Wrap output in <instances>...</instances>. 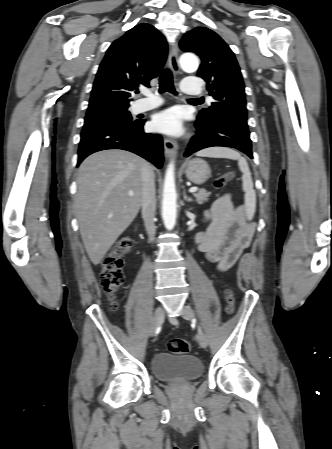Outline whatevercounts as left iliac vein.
<instances>
[{
	"label": "left iliac vein",
	"instance_id": "1",
	"mask_svg": "<svg viewBox=\"0 0 332 449\" xmlns=\"http://www.w3.org/2000/svg\"><path fill=\"white\" fill-rule=\"evenodd\" d=\"M182 317L186 320H193L195 317V313L191 307L184 306L182 308ZM197 340L202 348H205L208 345L207 337L202 331L198 333Z\"/></svg>",
	"mask_w": 332,
	"mask_h": 449
}]
</instances>
